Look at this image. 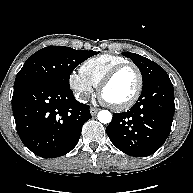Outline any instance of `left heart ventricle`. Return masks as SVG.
<instances>
[{"mask_svg": "<svg viewBox=\"0 0 193 193\" xmlns=\"http://www.w3.org/2000/svg\"><path fill=\"white\" fill-rule=\"evenodd\" d=\"M137 83L136 71L131 67L125 68L104 88L102 98L110 104H121L133 95Z\"/></svg>", "mask_w": 193, "mask_h": 193, "instance_id": "left-heart-ventricle-1", "label": "left heart ventricle"}]
</instances>
